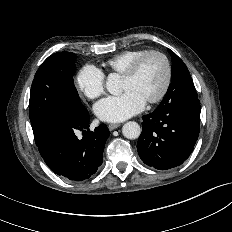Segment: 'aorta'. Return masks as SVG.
<instances>
[{
  "label": "aorta",
  "mask_w": 232,
  "mask_h": 232,
  "mask_svg": "<svg viewBox=\"0 0 232 232\" xmlns=\"http://www.w3.org/2000/svg\"><path fill=\"white\" fill-rule=\"evenodd\" d=\"M106 88L109 93L119 95L121 93V79L117 74H110L106 81ZM123 135L128 139H136L140 136L141 129L138 123L129 121L122 127Z\"/></svg>",
  "instance_id": "aorta-1"
}]
</instances>
